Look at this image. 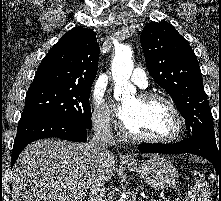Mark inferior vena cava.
<instances>
[{
  "label": "inferior vena cava",
  "mask_w": 221,
  "mask_h": 201,
  "mask_svg": "<svg viewBox=\"0 0 221 201\" xmlns=\"http://www.w3.org/2000/svg\"><path fill=\"white\" fill-rule=\"evenodd\" d=\"M113 145L115 140L110 130L109 118L104 116L95 122L94 136L89 145L97 172L91 184L88 201H105L104 171L106 160L110 155L107 148Z\"/></svg>",
  "instance_id": "obj_1"
}]
</instances>
